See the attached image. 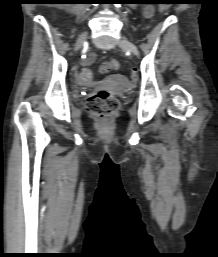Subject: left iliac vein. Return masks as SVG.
Masks as SVG:
<instances>
[{
	"label": "left iliac vein",
	"instance_id": "obj_1",
	"mask_svg": "<svg viewBox=\"0 0 218 257\" xmlns=\"http://www.w3.org/2000/svg\"><path fill=\"white\" fill-rule=\"evenodd\" d=\"M118 45L119 47L130 51L133 55L139 56L137 47L132 42H130L127 38L123 37L119 41Z\"/></svg>",
	"mask_w": 218,
	"mask_h": 257
}]
</instances>
